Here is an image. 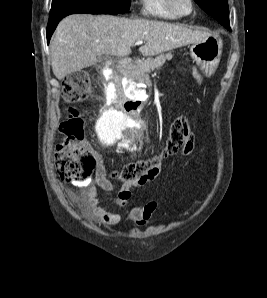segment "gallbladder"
<instances>
[{"label":"gallbladder","mask_w":267,"mask_h":298,"mask_svg":"<svg viewBox=\"0 0 267 298\" xmlns=\"http://www.w3.org/2000/svg\"><path fill=\"white\" fill-rule=\"evenodd\" d=\"M99 59H100L101 61H103V60H108L109 57H108V56H99Z\"/></svg>","instance_id":"bac80fb5"}]
</instances>
